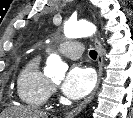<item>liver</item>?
I'll use <instances>...</instances> for the list:
<instances>
[{
  "label": "liver",
  "mask_w": 133,
  "mask_h": 118,
  "mask_svg": "<svg viewBox=\"0 0 133 118\" xmlns=\"http://www.w3.org/2000/svg\"><path fill=\"white\" fill-rule=\"evenodd\" d=\"M2 116L3 118L4 116H8L9 118H48L47 114L41 110L24 107L10 108Z\"/></svg>",
  "instance_id": "1"
}]
</instances>
